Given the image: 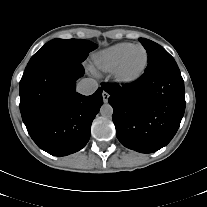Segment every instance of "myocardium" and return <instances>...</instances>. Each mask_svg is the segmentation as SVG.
I'll use <instances>...</instances> for the list:
<instances>
[{"instance_id": "1", "label": "myocardium", "mask_w": 207, "mask_h": 207, "mask_svg": "<svg viewBox=\"0 0 207 207\" xmlns=\"http://www.w3.org/2000/svg\"><path fill=\"white\" fill-rule=\"evenodd\" d=\"M136 48H141L144 51V53H145L144 64H143L142 68L138 72H136L134 74H131V75H126L123 72V68H124L125 62H126L128 56L130 55V53L134 49H136ZM148 63H149V55H148L147 49L143 45H141V44H134L133 46H131L125 52V54L122 56V58L120 59V61L117 64V66L113 70L114 80L117 83L122 84V85L132 84V83L138 81L144 75V73L147 70Z\"/></svg>"}]
</instances>
